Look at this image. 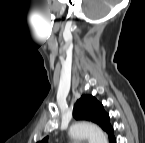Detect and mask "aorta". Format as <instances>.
<instances>
[{"instance_id":"1","label":"aorta","mask_w":145,"mask_h":143,"mask_svg":"<svg viewBox=\"0 0 145 143\" xmlns=\"http://www.w3.org/2000/svg\"><path fill=\"white\" fill-rule=\"evenodd\" d=\"M69 134L74 139L87 138L89 143H108L104 132L96 125L87 122H77L69 129Z\"/></svg>"}]
</instances>
